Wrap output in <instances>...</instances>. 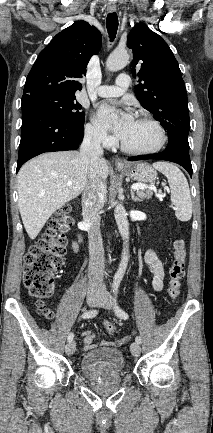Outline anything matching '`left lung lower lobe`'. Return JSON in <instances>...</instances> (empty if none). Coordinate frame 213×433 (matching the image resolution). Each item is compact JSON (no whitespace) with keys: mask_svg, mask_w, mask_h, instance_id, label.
I'll list each match as a JSON object with an SVG mask.
<instances>
[{"mask_svg":"<svg viewBox=\"0 0 213 433\" xmlns=\"http://www.w3.org/2000/svg\"><path fill=\"white\" fill-rule=\"evenodd\" d=\"M158 159L175 162L184 167L189 175L192 177V165L189 157V145L179 141L173 140L168 142L166 149L160 153L152 155H141L129 158V161Z\"/></svg>","mask_w":213,"mask_h":433,"instance_id":"0a47b994","label":"left lung lower lobe"}]
</instances>
